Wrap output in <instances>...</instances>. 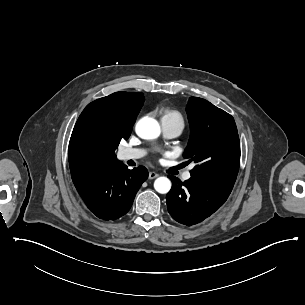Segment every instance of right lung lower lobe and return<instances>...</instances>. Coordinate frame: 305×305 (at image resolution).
<instances>
[{"mask_svg":"<svg viewBox=\"0 0 305 305\" xmlns=\"http://www.w3.org/2000/svg\"><path fill=\"white\" fill-rule=\"evenodd\" d=\"M148 178L145 167L129 170L123 163L75 185L89 210L103 220H115L126 214L140 186Z\"/></svg>","mask_w":305,"mask_h":305,"instance_id":"right-lung-lower-lobe-1","label":"right lung lower lobe"}]
</instances>
